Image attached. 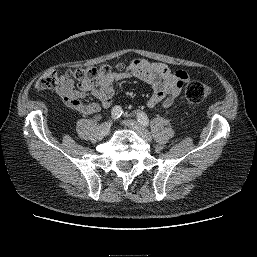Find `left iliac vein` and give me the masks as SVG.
<instances>
[{"label": "left iliac vein", "mask_w": 257, "mask_h": 257, "mask_svg": "<svg viewBox=\"0 0 257 257\" xmlns=\"http://www.w3.org/2000/svg\"><path fill=\"white\" fill-rule=\"evenodd\" d=\"M124 123L130 129L135 131L138 134V136L141 139H143L144 141H146V142L152 141V136L149 133V131L144 126H142L140 123H138L137 121L129 119V120H126Z\"/></svg>", "instance_id": "obj_1"}]
</instances>
